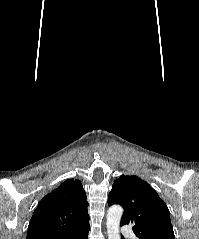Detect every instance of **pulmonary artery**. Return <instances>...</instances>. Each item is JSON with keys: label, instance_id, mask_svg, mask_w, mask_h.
I'll return each mask as SVG.
<instances>
[{"label": "pulmonary artery", "instance_id": "e3ab8cb5", "mask_svg": "<svg viewBox=\"0 0 199 239\" xmlns=\"http://www.w3.org/2000/svg\"><path fill=\"white\" fill-rule=\"evenodd\" d=\"M122 234L127 238H134L135 237V233L133 232V230L130 227H127V226L123 227Z\"/></svg>", "mask_w": 199, "mask_h": 239}]
</instances>
